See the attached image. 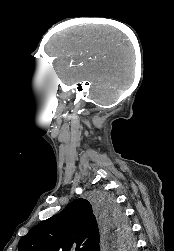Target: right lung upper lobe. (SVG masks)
I'll return each instance as SVG.
<instances>
[{
  "instance_id": "cb5924a9",
  "label": "right lung upper lobe",
  "mask_w": 174,
  "mask_h": 251,
  "mask_svg": "<svg viewBox=\"0 0 174 251\" xmlns=\"http://www.w3.org/2000/svg\"><path fill=\"white\" fill-rule=\"evenodd\" d=\"M103 233L95 206L79 198L34 226L18 246L19 251H100Z\"/></svg>"
}]
</instances>
